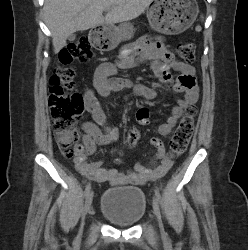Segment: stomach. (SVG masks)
Here are the masks:
<instances>
[{
  "label": "stomach",
  "mask_w": 248,
  "mask_h": 250,
  "mask_svg": "<svg viewBox=\"0 0 248 250\" xmlns=\"http://www.w3.org/2000/svg\"><path fill=\"white\" fill-rule=\"evenodd\" d=\"M199 8L196 0H155L147 8V18L150 27L160 33L173 35L188 29L196 20ZM103 38L107 40L104 50H112L121 41L132 38L133 26L123 23L103 26Z\"/></svg>",
  "instance_id": "obj_1"
}]
</instances>
